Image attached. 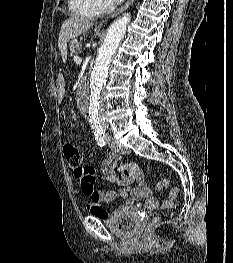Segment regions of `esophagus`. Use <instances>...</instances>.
<instances>
[{
    "label": "esophagus",
    "mask_w": 233,
    "mask_h": 263,
    "mask_svg": "<svg viewBox=\"0 0 233 263\" xmlns=\"http://www.w3.org/2000/svg\"><path fill=\"white\" fill-rule=\"evenodd\" d=\"M133 1L134 0H127L120 8H118L116 11H114L107 19L102 20L100 22L99 26H103L104 24H106V22L109 18L116 17L117 15L122 13L124 10H126L133 3Z\"/></svg>",
    "instance_id": "34e87169"
}]
</instances>
